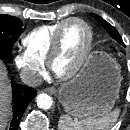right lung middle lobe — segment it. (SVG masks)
Listing matches in <instances>:
<instances>
[{"label":"right lung middle lobe","mask_w":130,"mask_h":130,"mask_svg":"<svg viewBox=\"0 0 130 130\" xmlns=\"http://www.w3.org/2000/svg\"><path fill=\"white\" fill-rule=\"evenodd\" d=\"M22 22L10 15L0 14V58L12 62V48L21 35Z\"/></svg>","instance_id":"dd1d6c3e"}]
</instances>
